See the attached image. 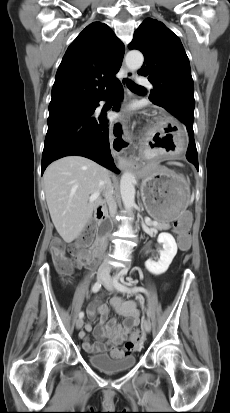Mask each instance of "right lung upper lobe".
Instances as JSON below:
<instances>
[{"mask_svg": "<svg viewBox=\"0 0 230 413\" xmlns=\"http://www.w3.org/2000/svg\"><path fill=\"white\" fill-rule=\"evenodd\" d=\"M124 45L104 23L88 25L68 47L55 76L49 107L91 103L118 80Z\"/></svg>", "mask_w": 230, "mask_h": 413, "instance_id": "cb5924a9", "label": "right lung upper lobe"}]
</instances>
